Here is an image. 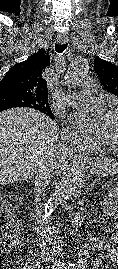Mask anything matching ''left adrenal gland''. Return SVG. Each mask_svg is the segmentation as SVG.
Listing matches in <instances>:
<instances>
[{
	"label": "left adrenal gland",
	"instance_id": "1",
	"mask_svg": "<svg viewBox=\"0 0 118 269\" xmlns=\"http://www.w3.org/2000/svg\"><path fill=\"white\" fill-rule=\"evenodd\" d=\"M94 184H95V182H93V183L89 186V189H90V190L94 188Z\"/></svg>",
	"mask_w": 118,
	"mask_h": 269
}]
</instances>
